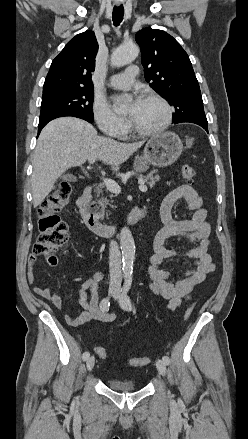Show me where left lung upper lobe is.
<instances>
[{"instance_id":"5c2ea615","label":"left lung upper lobe","mask_w":248,"mask_h":439,"mask_svg":"<svg viewBox=\"0 0 248 439\" xmlns=\"http://www.w3.org/2000/svg\"><path fill=\"white\" fill-rule=\"evenodd\" d=\"M135 40L141 48L146 81L175 107L172 122L207 120L191 61L180 44L168 33L152 28L138 31Z\"/></svg>"}]
</instances>
